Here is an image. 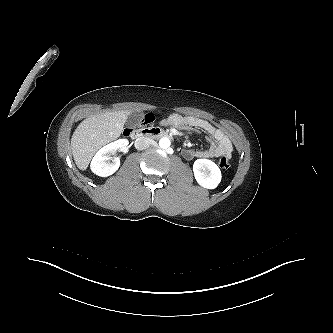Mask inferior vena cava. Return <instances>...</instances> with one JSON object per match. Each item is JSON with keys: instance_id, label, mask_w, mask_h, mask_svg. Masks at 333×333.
I'll list each match as a JSON object with an SVG mask.
<instances>
[{"instance_id": "1", "label": "inferior vena cava", "mask_w": 333, "mask_h": 333, "mask_svg": "<svg viewBox=\"0 0 333 333\" xmlns=\"http://www.w3.org/2000/svg\"><path fill=\"white\" fill-rule=\"evenodd\" d=\"M151 145V139L147 137H139L135 141V148L137 150H144Z\"/></svg>"}]
</instances>
